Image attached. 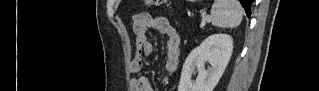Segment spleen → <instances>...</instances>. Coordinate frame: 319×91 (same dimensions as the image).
Instances as JSON below:
<instances>
[{
	"mask_svg": "<svg viewBox=\"0 0 319 91\" xmlns=\"http://www.w3.org/2000/svg\"><path fill=\"white\" fill-rule=\"evenodd\" d=\"M243 17V8L237 0H215L211 8L212 25L220 28H236Z\"/></svg>",
	"mask_w": 319,
	"mask_h": 91,
	"instance_id": "obj_1",
	"label": "spleen"
}]
</instances>
